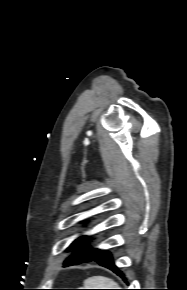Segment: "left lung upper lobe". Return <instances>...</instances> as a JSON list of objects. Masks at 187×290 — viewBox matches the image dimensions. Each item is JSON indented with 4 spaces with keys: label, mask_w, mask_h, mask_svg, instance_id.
<instances>
[{
    "label": "left lung upper lobe",
    "mask_w": 187,
    "mask_h": 290,
    "mask_svg": "<svg viewBox=\"0 0 187 290\" xmlns=\"http://www.w3.org/2000/svg\"><path fill=\"white\" fill-rule=\"evenodd\" d=\"M88 239L90 237L81 236L70 245L69 249H75V252L65 260V264L73 261H76V264L89 261L101 251L100 249H88Z\"/></svg>",
    "instance_id": "obj_1"
}]
</instances>
